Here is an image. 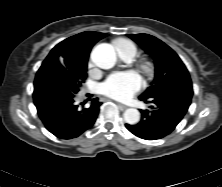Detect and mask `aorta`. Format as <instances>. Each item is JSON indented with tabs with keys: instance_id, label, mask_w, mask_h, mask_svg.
<instances>
[{
	"instance_id": "obj_1",
	"label": "aorta",
	"mask_w": 222,
	"mask_h": 187,
	"mask_svg": "<svg viewBox=\"0 0 222 187\" xmlns=\"http://www.w3.org/2000/svg\"><path fill=\"white\" fill-rule=\"evenodd\" d=\"M92 59L98 67L110 69L117 61L116 50L111 44L101 43L93 49ZM124 120L130 125H135L140 121V112L137 109L129 108L124 112Z\"/></svg>"
}]
</instances>
